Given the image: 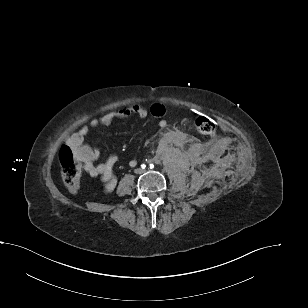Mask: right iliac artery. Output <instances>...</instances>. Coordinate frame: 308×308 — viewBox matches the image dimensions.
Returning <instances> with one entry per match:
<instances>
[{
  "mask_svg": "<svg viewBox=\"0 0 308 308\" xmlns=\"http://www.w3.org/2000/svg\"><path fill=\"white\" fill-rule=\"evenodd\" d=\"M141 167L144 169V168H145V165H141Z\"/></svg>",
  "mask_w": 308,
  "mask_h": 308,
  "instance_id": "1",
  "label": "right iliac artery"
}]
</instances>
